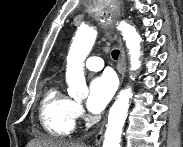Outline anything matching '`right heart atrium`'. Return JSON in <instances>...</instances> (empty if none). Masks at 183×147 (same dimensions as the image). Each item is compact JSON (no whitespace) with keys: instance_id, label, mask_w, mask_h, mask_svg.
Masks as SVG:
<instances>
[{"instance_id":"d8ad5b80","label":"right heart atrium","mask_w":183,"mask_h":147,"mask_svg":"<svg viewBox=\"0 0 183 147\" xmlns=\"http://www.w3.org/2000/svg\"><path fill=\"white\" fill-rule=\"evenodd\" d=\"M83 116V109L80 104H76L75 106V117H82Z\"/></svg>"}]
</instances>
